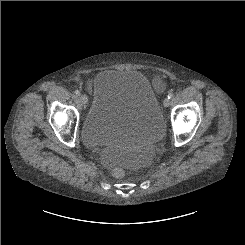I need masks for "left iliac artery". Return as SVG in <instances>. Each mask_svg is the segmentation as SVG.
Masks as SVG:
<instances>
[{
  "label": "left iliac artery",
  "instance_id": "obj_1",
  "mask_svg": "<svg viewBox=\"0 0 245 245\" xmlns=\"http://www.w3.org/2000/svg\"><path fill=\"white\" fill-rule=\"evenodd\" d=\"M173 96H174V94H173L172 92H169L167 97H168V99L170 100V99L173 98Z\"/></svg>",
  "mask_w": 245,
  "mask_h": 245
}]
</instances>
